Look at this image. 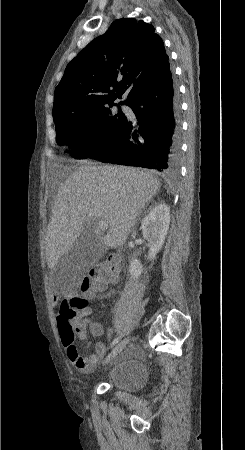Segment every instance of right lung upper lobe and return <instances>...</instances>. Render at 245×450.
<instances>
[{"label":"right lung upper lobe","instance_id":"1","mask_svg":"<svg viewBox=\"0 0 245 450\" xmlns=\"http://www.w3.org/2000/svg\"><path fill=\"white\" fill-rule=\"evenodd\" d=\"M169 68L162 39L144 21L122 18L90 42L66 67L53 109L87 110L128 100Z\"/></svg>","mask_w":245,"mask_h":450}]
</instances>
